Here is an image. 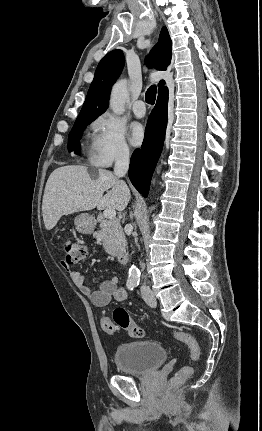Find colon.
Listing matches in <instances>:
<instances>
[{
    "instance_id": "5ec220e1",
    "label": "colon",
    "mask_w": 262,
    "mask_h": 431,
    "mask_svg": "<svg viewBox=\"0 0 262 431\" xmlns=\"http://www.w3.org/2000/svg\"><path fill=\"white\" fill-rule=\"evenodd\" d=\"M65 252V265L76 264L83 261L88 256L87 247L76 240H66L63 243ZM100 324L104 332L114 334L118 329H123L130 337L140 338L143 336V330L130 319L129 313L125 308H116L113 312V318L102 316ZM172 335L184 342L190 349V358L193 362L200 359V346L192 334L185 331H174ZM193 367L186 365L180 368L171 380L172 385H177L191 378Z\"/></svg>"
}]
</instances>
